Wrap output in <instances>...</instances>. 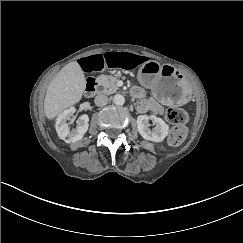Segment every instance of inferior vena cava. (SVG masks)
<instances>
[{"mask_svg": "<svg viewBox=\"0 0 243 243\" xmlns=\"http://www.w3.org/2000/svg\"><path fill=\"white\" fill-rule=\"evenodd\" d=\"M94 102L96 106H104L108 103V97L103 94H99L95 97Z\"/></svg>", "mask_w": 243, "mask_h": 243, "instance_id": "1", "label": "inferior vena cava"}]
</instances>
